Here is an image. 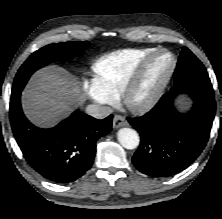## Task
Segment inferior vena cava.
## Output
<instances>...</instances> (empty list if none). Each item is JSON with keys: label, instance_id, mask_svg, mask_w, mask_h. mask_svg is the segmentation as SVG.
I'll return each instance as SVG.
<instances>
[{"label": "inferior vena cava", "instance_id": "602c4592", "mask_svg": "<svg viewBox=\"0 0 222 219\" xmlns=\"http://www.w3.org/2000/svg\"><path fill=\"white\" fill-rule=\"evenodd\" d=\"M86 112L94 118L103 119L112 114L113 111L109 106L92 104L86 107Z\"/></svg>", "mask_w": 222, "mask_h": 219}]
</instances>
